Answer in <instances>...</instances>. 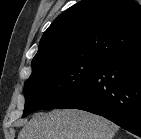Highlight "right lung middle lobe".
Instances as JSON below:
<instances>
[{"instance_id":"1","label":"right lung middle lobe","mask_w":141,"mask_h":139,"mask_svg":"<svg viewBox=\"0 0 141 139\" xmlns=\"http://www.w3.org/2000/svg\"><path fill=\"white\" fill-rule=\"evenodd\" d=\"M107 59L83 56L33 68L24 85L23 117L55 108L87 84Z\"/></svg>"}]
</instances>
